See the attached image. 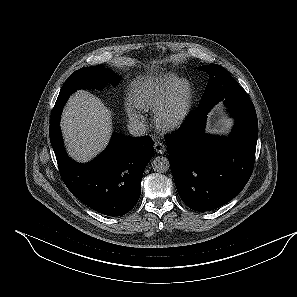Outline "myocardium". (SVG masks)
I'll use <instances>...</instances> for the list:
<instances>
[{"mask_svg":"<svg viewBox=\"0 0 297 297\" xmlns=\"http://www.w3.org/2000/svg\"><path fill=\"white\" fill-rule=\"evenodd\" d=\"M193 97L191 83L184 79L178 80L166 99L153 110L155 127L163 132L179 128L191 112Z\"/></svg>","mask_w":297,"mask_h":297,"instance_id":"1","label":"myocardium"}]
</instances>
